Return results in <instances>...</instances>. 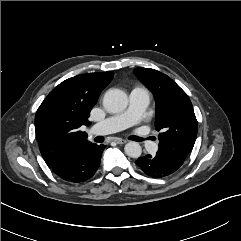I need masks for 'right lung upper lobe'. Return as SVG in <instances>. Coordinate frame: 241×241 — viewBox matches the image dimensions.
<instances>
[{"label": "right lung upper lobe", "mask_w": 241, "mask_h": 241, "mask_svg": "<svg viewBox=\"0 0 241 241\" xmlns=\"http://www.w3.org/2000/svg\"><path fill=\"white\" fill-rule=\"evenodd\" d=\"M113 75L112 71L77 75L60 83L44 99L36 112L35 131L47 164L70 147L90 143L79 128L89 125L90 110Z\"/></svg>", "instance_id": "right-lung-upper-lobe-1"}]
</instances>
